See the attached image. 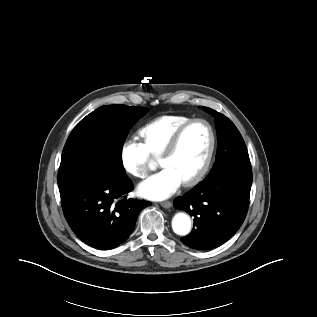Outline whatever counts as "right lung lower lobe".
I'll use <instances>...</instances> for the list:
<instances>
[{
    "mask_svg": "<svg viewBox=\"0 0 317 317\" xmlns=\"http://www.w3.org/2000/svg\"><path fill=\"white\" fill-rule=\"evenodd\" d=\"M131 190L125 170L109 163L75 173L59 189L63 213L71 229L87 245L101 250L126 241L140 211L151 204L120 199Z\"/></svg>",
    "mask_w": 317,
    "mask_h": 317,
    "instance_id": "right-lung-lower-lobe-1",
    "label": "right lung lower lobe"
}]
</instances>
